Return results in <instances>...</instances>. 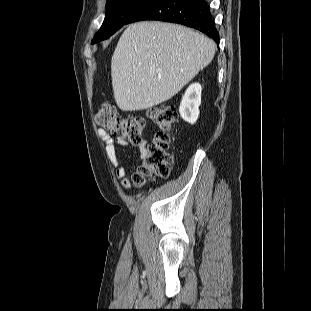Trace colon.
Instances as JSON below:
<instances>
[{
  "label": "colon",
  "mask_w": 311,
  "mask_h": 311,
  "mask_svg": "<svg viewBox=\"0 0 311 311\" xmlns=\"http://www.w3.org/2000/svg\"><path fill=\"white\" fill-rule=\"evenodd\" d=\"M149 118L158 127V132L149 144L141 164L133 175V183L142 185L152 176L167 177L170 173L172 155L169 151L173 124L177 119L175 109L170 105H160L152 108ZM96 124L111 131L121 132L122 135L134 144L142 141L145 119L141 116L120 117L116 108L104 103L95 114Z\"/></svg>",
  "instance_id": "1"
}]
</instances>
